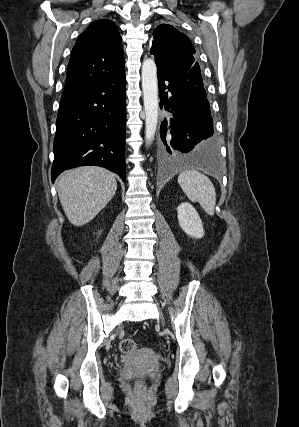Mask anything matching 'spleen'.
<instances>
[{
    "instance_id": "3e777b00",
    "label": "spleen",
    "mask_w": 299,
    "mask_h": 427,
    "mask_svg": "<svg viewBox=\"0 0 299 427\" xmlns=\"http://www.w3.org/2000/svg\"><path fill=\"white\" fill-rule=\"evenodd\" d=\"M178 183L191 201H198L207 214L214 215L216 192L207 176L195 170H186L179 174Z\"/></svg>"
}]
</instances>
